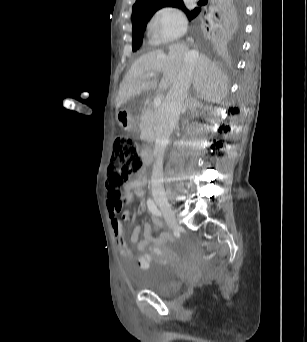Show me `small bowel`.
Returning a JSON list of instances; mask_svg holds the SVG:
<instances>
[{"instance_id":"c3829d8e","label":"small bowel","mask_w":307,"mask_h":342,"mask_svg":"<svg viewBox=\"0 0 307 342\" xmlns=\"http://www.w3.org/2000/svg\"><path fill=\"white\" fill-rule=\"evenodd\" d=\"M145 184L146 177L144 171L141 170L135 178L129 181L126 190L130 196L134 194H143V187L145 186ZM108 209L110 216V225L118 252L123 258L131 259L133 256V252L125 238L122 221L116 216L117 211L114 206H108ZM125 217H127V215H125ZM153 222L156 228H162V223L158 218L154 217ZM142 225L144 240L139 241L141 226L135 227L131 236V243L135 244L139 251H144L146 248L150 247L153 253H156L165 245L167 241H169L170 237L168 233H162L159 237H153L151 234V226L146 221H143ZM149 261L150 256L145 255L140 258L139 266L143 269H146L149 265Z\"/></svg>"}]
</instances>
